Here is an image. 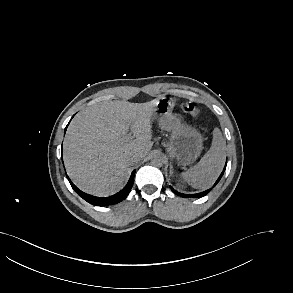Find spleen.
Segmentation results:
<instances>
[{
  "instance_id": "3e777b00",
  "label": "spleen",
  "mask_w": 293,
  "mask_h": 293,
  "mask_svg": "<svg viewBox=\"0 0 293 293\" xmlns=\"http://www.w3.org/2000/svg\"><path fill=\"white\" fill-rule=\"evenodd\" d=\"M225 150L221 131L215 128L210 149L196 165L182 173V178L193 188L204 189L211 186L222 171Z\"/></svg>"
}]
</instances>
